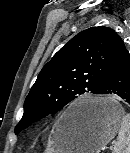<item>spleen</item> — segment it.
<instances>
[{
	"instance_id": "1",
	"label": "spleen",
	"mask_w": 130,
	"mask_h": 153,
	"mask_svg": "<svg viewBox=\"0 0 130 153\" xmlns=\"http://www.w3.org/2000/svg\"><path fill=\"white\" fill-rule=\"evenodd\" d=\"M113 153H130V114L122 118Z\"/></svg>"
}]
</instances>
